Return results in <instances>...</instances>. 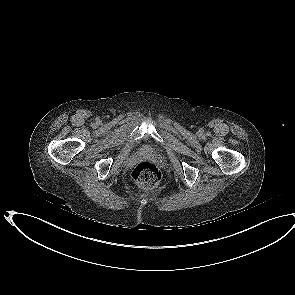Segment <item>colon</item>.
<instances>
[{"label":"colon","mask_w":295,"mask_h":295,"mask_svg":"<svg viewBox=\"0 0 295 295\" xmlns=\"http://www.w3.org/2000/svg\"><path fill=\"white\" fill-rule=\"evenodd\" d=\"M132 177L139 187L152 189L159 184L162 175L154 163L142 161L134 168Z\"/></svg>","instance_id":"5ec220e1"}]
</instances>
